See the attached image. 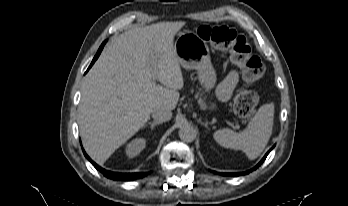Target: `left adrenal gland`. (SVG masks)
<instances>
[{
  "label": "left adrenal gland",
  "instance_id": "obj_1",
  "mask_svg": "<svg viewBox=\"0 0 348 206\" xmlns=\"http://www.w3.org/2000/svg\"><path fill=\"white\" fill-rule=\"evenodd\" d=\"M201 124L204 125L207 129H209L206 123L201 122Z\"/></svg>",
  "mask_w": 348,
  "mask_h": 206
}]
</instances>
